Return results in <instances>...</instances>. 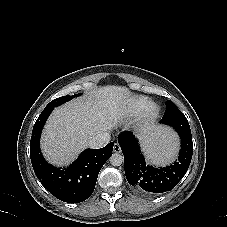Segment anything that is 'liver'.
I'll return each mask as SVG.
<instances>
[{"label": "liver", "instance_id": "obj_1", "mask_svg": "<svg viewBox=\"0 0 227 227\" xmlns=\"http://www.w3.org/2000/svg\"><path fill=\"white\" fill-rule=\"evenodd\" d=\"M130 105L131 93L126 87L105 86L56 108L42 134L44 156L57 166L70 163L91 137L123 123Z\"/></svg>", "mask_w": 227, "mask_h": 227}]
</instances>
